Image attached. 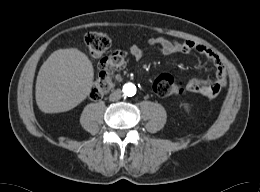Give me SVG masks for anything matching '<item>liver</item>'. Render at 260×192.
Masks as SVG:
<instances>
[{"label":"liver","instance_id":"1","mask_svg":"<svg viewBox=\"0 0 260 192\" xmlns=\"http://www.w3.org/2000/svg\"><path fill=\"white\" fill-rule=\"evenodd\" d=\"M93 79V65L85 53L77 48L56 50L39 70L36 103L45 113L69 111L86 99Z\"/></svg>","mask_w":260,"mask_h":192}]
</instances>
